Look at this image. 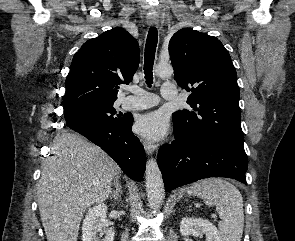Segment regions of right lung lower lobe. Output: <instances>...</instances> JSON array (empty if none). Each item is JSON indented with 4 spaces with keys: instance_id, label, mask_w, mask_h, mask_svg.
I'll use <instances>...</instances> for the list:
<instances>
[{
    "instance_id": "1",
    "label": "right lung lower lobe",
    "mask_w": 295,
    "mask_h": 241,
    "mask_svg": "<svg viewBox=\"0 0 295 241\" xmlns=\"http://www.w3.org/2000/svg\"><path fill=\"white\" fill-rule=\"evenodd\" d=\"M133 117L123 124L89 120L68 127L101 147L124 173L133 180L142 181L146 155L140 140L132 133Z\"/></svg>"
}]
</instances>
